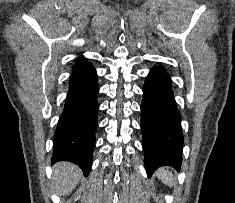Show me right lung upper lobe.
<instances>
[{
  "mask_svg": "<svg viewBox=\"0 0 235 203\" xmlns=\"http://www.w3.org/2000/svg\"><path fill=\"white\" fill-rule=\"evenodd\" d=\"M86 59H84L83 57H80L76 63L74 64L73 68H75L76 66L80 65L81 63L85 62Z\"/></svg>",
  "mask_w": 235,
  "mask_h": 203,
  "instance_id": "cb5924a9",
  "label": "right lung upper lobe"
}]
</instances>
